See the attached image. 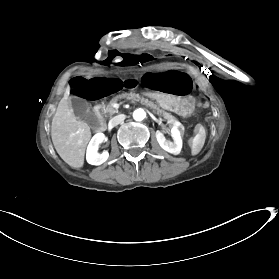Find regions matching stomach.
I'll use <instances>...</instances> for the list:
<instances>
[{
	"instance_id": "0dacf381",
	"label": "stomach",
	"mask_w": 279,
	"mask_h": 279,
	"mask_svg": "<svg viewBox=\"0 0 279 279\" xmlns=\"http://www.w3.org/2000/svg\"><path fill=\"white\" fill-rule=\"evenodd\" d=\"M151 97H154V94H151ZM154 103L185 116H190L193 113L192 99L190 97L179 99L176 97L165 98L163 94H158L154 97Z\"/></svg>"
}]
</instances>
